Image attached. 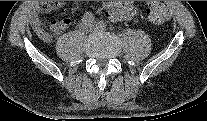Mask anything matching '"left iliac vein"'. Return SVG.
<instances>
[{
  "instance_id": "left-iliac-vein-1",
  "label": "left iliac vein",
  "mask_w": 207,
  "mask_h": 121,
  "mask_svg": "<svg viewBox=\"0 0 207 121\" xmlns=\"http://www.w3.org/2000/svg\"><path fill=\"white\" fill-rule=\"evenodd\" d=\"M96 29H98V30H103V29H101L100 27H97Z\"/></svg>"
}]
</instances>
